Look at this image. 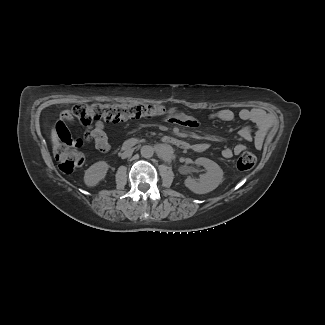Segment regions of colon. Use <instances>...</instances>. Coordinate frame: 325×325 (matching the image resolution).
Here are the masks:
<instances>
[{"label":"colon","mask_w":325,"mask_h":325,"mask_svg":"<svg viewBox=\"0 0 325 325\" xmlns=\"http://www.w3.org/2000/svg\"><path fill=\"white\" fill-rule=\"evenodd\" d=\"M171 116L186 124L189 117L178 115L173 108H166L158 104L139 103H93L77 104L71 111V119L78 120L82 125H89L94 120L103 119L107 122H120L130 119H140L158 116ZM54 154L61 171L71 173L81 167L85 161V155L79 149L65 144H57ZM256 157L251 152H243L237 160V168L245 171L254 167Z\"/></svg>","instance_id":"obj_1"}]
</instances>
